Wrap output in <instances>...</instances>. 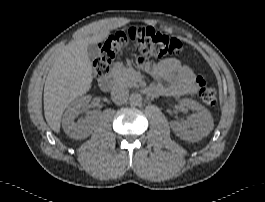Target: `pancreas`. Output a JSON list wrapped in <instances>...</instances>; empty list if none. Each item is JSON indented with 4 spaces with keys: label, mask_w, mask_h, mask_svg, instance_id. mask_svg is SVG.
Listing matches in <instances>:
<instances>
[{
    "label": "pancreas",
    "mask_w": 265,
    "mask_h": 202,
    "mask_svg": "<svg viewBox=\"0 0 265 202\" xmlns=\"http://www.w3.org/2000/svg\"><path fill=\"white\" fill-rule=\"evenodd\" d=\"M115 80L124 86L134 87L137 85V72L129 67H125L123 63H116L112 69Z\"/></svg>",
    "instance_id": "cf45deb5"
}]
</instances>
